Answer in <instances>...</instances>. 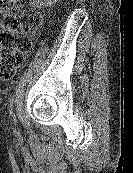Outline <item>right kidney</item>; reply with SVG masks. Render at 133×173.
<instances>
[{
    "instance_id": "1",
    "label": "right kidney",
    "mask_w": 133,
    "mask_h": 173,
    "mask_svg": "<svg viewBox=\"0 0 133 173\" xmlns=\"http://www.w3.org/2000/svg\"><path fill=\"white\" fill-rule=\"evenodd\" d=\"M36 2V5L41 7V6H48L52 5L54 2H57L59 0H34Z\"/></svg>"
}]
</instances>
